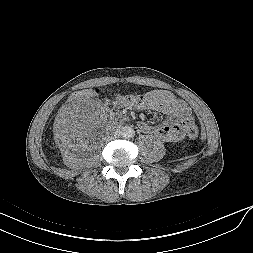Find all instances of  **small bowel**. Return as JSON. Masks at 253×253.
<instances>
[{
  "instance_id": "c3829d8e",
  "label": "small bowel",
  "mask_w": 253,
  "mask_h": 253,
  "mask_svg": "<svg viewBox=\"0 0 253 253\" xmlns=\"http://www.w3.org/2000/svg\"><path fill=\"white\" fill-rule=\"evenodd\" d=\"M114 104L118 108L154 110L165 115L167 119L157 126L152 127L144 122L139 124L143 132L150 133L163 142L180 141L193 123L188 105L166 90H153L143 95H119Z\"/></svg>"
}]
</instances>
